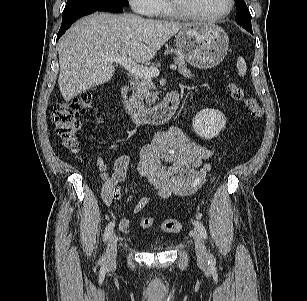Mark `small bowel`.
<instances>
[{
  "label": "small bowel",
  "mask_w": 307,
  "mask_h": 301,
  "mask_svg": "<svg viewBox=\"0 0 307 301\" xmlns=\"http://www.w3.org/2000/svg\"><path fill=\"white\" fill-rule=\"evenodd\" d=\"M212 155L211 149L172 126L157 133L151 144L141 148L137 171L162 199L189 195L204 183L207 172L212 168ZM164 160L171 165H165ZM129 162L127 154L119 155L110 174L102 158L96 159L99 176L104 182L101 195L107 206L121 199L120 184L126 179ZM151 200L150 195L143 196L135 205V213L141 212ZM116 222L122 232L131 231L128 219L116 217Z\"/></svg>",
  "instance_id": "1"
}]
</instances>
